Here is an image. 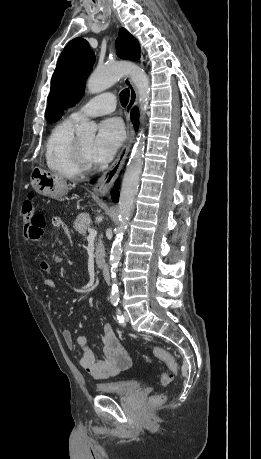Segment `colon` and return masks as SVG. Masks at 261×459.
I'll return each instance as SVG.
<instances>
[{
	"label": "colon",
	"instance_id": "5ec220e1",
	"mask_svg": "<svg viewBox=\"0 0 261 459\" xmlns=\"http://www.w3.org/2000/svg\"><path fill=\"white\" fill-rule=\"evenodd\" d=\"M24 224L21 226L20 231L22 234H39L42 233L46 227V218L42 214L34 213V207L31 196L23 203ZM154 356L163 361L170 369L164 371L159 376V383L162 386H167L171 383L173 372L177 371L178 365L175 358L167 350L161 347L153 349ZM160 398L153 396L150 398L151 404H156Z\"/></svg>",
	"mask_w": 261,
	"mask_h": 459
}]
</instances>
